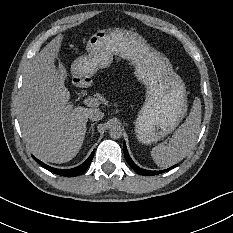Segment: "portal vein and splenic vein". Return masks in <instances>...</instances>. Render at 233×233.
Returning a JSON list of instances; mask_svg holds the SVG:
<instances>
[{
	"label": "portal vein and splenic vein",
	"instance_id": "1",
	"mask_svg": "<svg viewBox=\"0 0 233 233\" xmlns=\"http://www.w3.org/2000/svg\"><path fill=\"white\" fill-rule=\"evenodd\" d=\"M88 104L94 107H97L99 105V100L97 98H89L87 99Z\"/></svg>",
	"mask_w": 233,
	"mask_h": 233
}]
</instances>
